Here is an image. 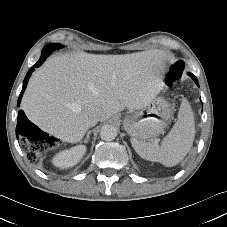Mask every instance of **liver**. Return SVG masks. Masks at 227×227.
<instances>
[{
  "instance_id": "obj_1",
  "label": "liver",
  "mask_w": 227,
  "mask_h": 227,
  "mask_svg": "<svg viewBox=\"0 0 227 227\" xmlns=\"http://www.w3.org/2000/svg\"><path fill=\"white\" fill-rule=\"evenodd\" d=\"M166 56L159 50L125 55L62 54L31 77L22 98L28 119L62 141L78 143L86 116L104 121L124 107H146L164 89Z\"/></svg>"
}]
</instances>
